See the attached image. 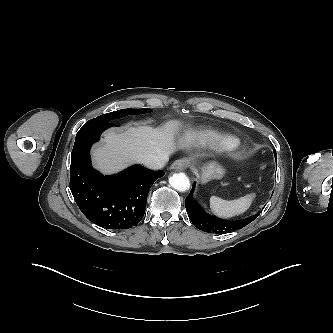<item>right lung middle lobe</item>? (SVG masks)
Returning a JSON list of instances; mask_svg holds the SVG:
<instances>
[{
    "instance_id": "dd1d6c3e",
    "label": "right lung middle lobe",
    "mask_w": 333,
    "mask_h": 333,
    "mask_svg": "<svg viewBox=\"0 0 333 333\" xmlns=\"http://www.w3.org/2000/svg\"><path fill=\"white\" fill-rule=\"evenodd\" d=\"M151 112L149 108H142V109H121L118 111H113L110 113H106L104 115L98 116L94 121H110L113 119H119L127 115H137Z\"/></svg>"
}]
</instances>
